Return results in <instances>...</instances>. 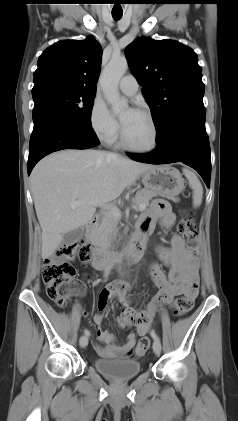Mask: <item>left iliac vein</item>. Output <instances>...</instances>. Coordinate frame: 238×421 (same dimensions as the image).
<instances>
[{"mask_svg": "<svg viewBox=\"0 0 238 421\" xmlns=\"http://www.w3.org/2000/svg\"><path fill=\"white\" fill-rule=\"evenodd\" d=\"M153 351L155 352V354H160L161 352V343L159 340H154L153 342Z\"/></svg>", "mask_w": 238, "mask_h": 421, "instance_id": "obj_1", "label": "left iliac vein"}]
</instances>
